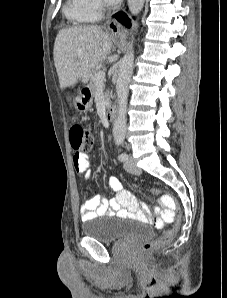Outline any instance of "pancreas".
Segmentation results:
<instances>
[{
  "label": "pancreas",
  "mask_w": 227,
  "mask_h": 298,
  "mask_svg": "<svg viewBox=\"0 0 227 298\" xmlns=\"http://www.w3.org/2000/svg\"><path fill=\"white\" fill-rule=\"evenodd\" d=\"M101 70H95L93 73H92V76L90 78V83H89V87H90V90L93 94V96H96V94L98 93L99 91V86L95 83L94 79H95V76L100 72ZM103 91H104V86L102 85V88H101ZM103 96H104V100L106 102V105L109 104L110 102V94L106 91V92H103Z\"/></svg>",
  "instance_id": "pancreas-1"
}]
</instances>
